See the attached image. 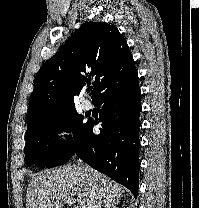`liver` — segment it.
<instances>
[{
    "label": "liver",
    "instance_id": "liver-1",
    "mask_svg": "<svg viewBox=\"0 0 199 208\" xmlns=\"http://www.w3.org/2000/svg\"><path fill=\"white\" fill-rule=\"evenodd\" d=\"M95 188L103 203L119 201L124 189L104 174L90 167L64 165L44 170L28 184L27 208H62L63 197H75L79 208H87L91 190Z\"/></svg>",
    "mask_w": 199,
    "mask_h": 208
}]
</instances>
